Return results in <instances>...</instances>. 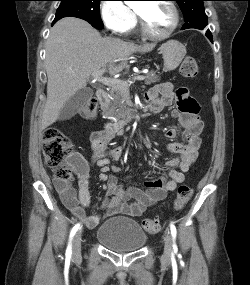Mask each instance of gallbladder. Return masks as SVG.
<instances>
[{"instance_id": "gallbladder-1", "label": "gallbladder", "mask_w": 250, "mask_h": 285, "mask_svg": "<svg viewBox=\"0 0 250 285\" xmlns=\"http://www.w3.org/2000/svg\"><path fill=\"white\" fill-rule=\"evenodd\" d=\"M93 93L91 88H82L77 91L61 109L59 119L67 120L72 118L87 104Z\"/></svg>"}]
</instances>
